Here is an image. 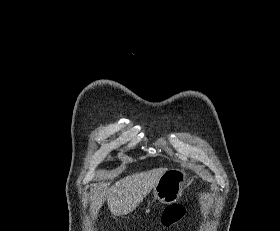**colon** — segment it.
I'll return each instance as SVG.
<instances>
[{"label": "colon", "instance_id": "5ec220e1", "mask_svg": "<svg viewBox=\"0 0 280 231\" xmlns=\"http://www.w3.org/2000/svg\"><path fill=\"white\" fill-rule=\"evenodd\" d=\"M187 208H166V211H163V225H172V220H177L178 216H182L183 213H187Z\"/></svg>", "mask_w": 280, "mask_h": 231}]
</instances>
